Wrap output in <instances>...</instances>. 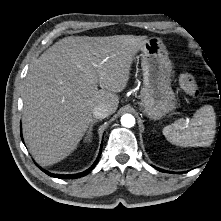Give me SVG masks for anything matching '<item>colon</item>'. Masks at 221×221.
I'll return each mask as SVG.
<instances>
[{
	"instance_id": "1",
	"label": "colon",
	"mask_w": 221,
	"mask_h": 221,
	"mask_svg": "<svg viewBox=\"0 0 221 221\" xmlns=\"http://www.w3.org/2000/svg\"><path fill=\"white\" fill-rule=\"evenodd\" d=\"M179 84L181 89L190 96H198L199 88L194 77L189 73H183L179 77Z\"/></svg>"
}]
</instances>
